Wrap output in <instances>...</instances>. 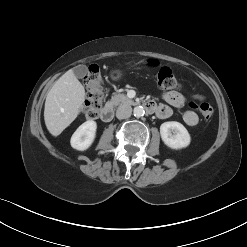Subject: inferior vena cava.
<instances>
[{
  "instance_id": "obj_1",
  "label": "inferior vena cava",
  "mask_w": 247,
  "mask_h": 247,
  "mask_svg": "<svg viewBox=\"0 0 247 247\" xmlns=\"http://www.w3.org/2000/svg\"><path fill=\"white\" fill-rule=\"evenodd\" d=\"M132 114V108L128 104L120 105L116 111V117L118 119L129 118Z\"/></svg>"
}]
</instances>
